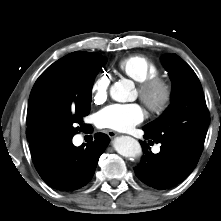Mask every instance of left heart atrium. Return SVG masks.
Segmentation results:
<instances>
[{"label": "left heart atrium", "mask_w": 221, "mask_h": 221, "mask_svg": "<svg viewBox=\"0 0 221 221\" xmlns=\"http://www.w3.org/2000/svg\"><path fill=\"white\" fill-rule=\"evenodd\" d=\"M145 113L139 104H112L97 114V124L102 128L126 132L144 120Z\"/></svg>", "instance_id": "39dd6f15"}]
</instances>
